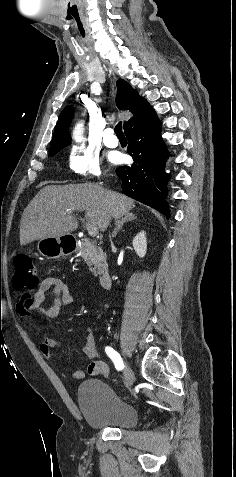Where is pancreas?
<instances>
[{"label": "pancreas", "instance_id": "pancreas-1", "mask_svg": "<svg viewBox=\"0 0 236 477\" xmlns=\"http://www.w3.org/2000/svg\"><path fill=\"white\" fill-rule=\"evenodd\" d=\"M77 250L89 266V269L94 276H98L104 272L106 269V262L100 247L85 239Z\"/></svg>", "mask_w": 236, "mask_h": 477}]
</instances>
